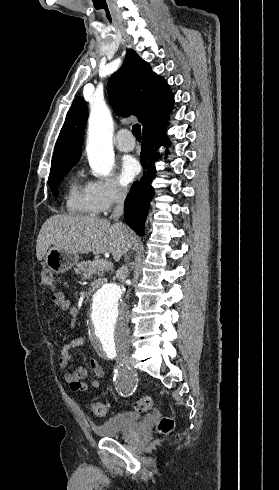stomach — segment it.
<instances>
[{"instance_id":"stomach-1","label":"stomach","mask_w":279,"mask_h":490,"mask_svg":"<svg viewBox=\"0 0 279 490\" xmlns=\"http://www.w3.org/2000/svg\"><path fill=\"white\" fill-rule=\"evenodd\" d=\"M79 260L78 254H73L64 248H50L45 256V264L55 272V274H63L68 272L73 266H76Z\"/></svg>"}]
</instances>
